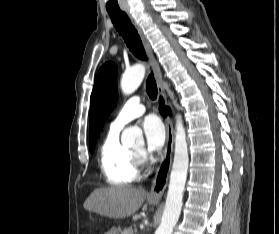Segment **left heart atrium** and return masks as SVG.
I'll use <instances>...</instances> for the list:
<instances>
[{"mask_svg":"<svg viewBox=\"0 0 279 234\" xmlns=\"http://www.w3.org/2000/svg\"><path fill=\"white\" fill-rule=\"evenodd\" d=\"M142 129L147 149L151 152L161 149L165 141V129L161 120L154 115L147 116L142 122Z\"/></svg>","mask_w":279,"mask_h":234,"instance_id":"obj_1","label":"left heart atrium"}]
</instances>
